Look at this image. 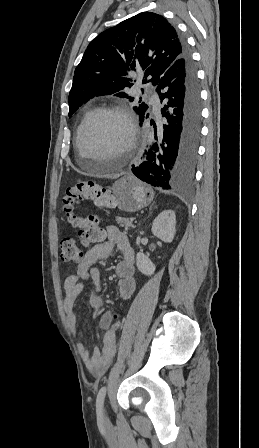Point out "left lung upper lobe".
<instances>
[{
	"instance_id": "left-lung-upper-lobe-1",
	"label": "left lung upper lobe",
	"mask_w": 259,
	"mask_h": 448,
	"mask_svg": "<svg viewBox=\"0 0 259 448\" xmlns=\"http://www.w3.org/2000/svg\"><path fill=\"white\" fill-rule=\"evenodd\" d=\"M182 52V40L176 29L153 12L140 13L105 30L88 45L75 69L69 116L94 96L114 94L133 101L124 91L137 82L132 73H143L142 84L151 82L156 86ZM133 109L142 118L148 105L143 102Z\"/></svg>"
}]
</instances>
